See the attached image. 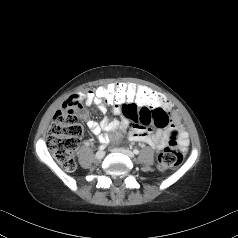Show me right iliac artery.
<instances>
[{
	"mask_svg": "<svg viewBox=\"0 0 238 238\" xmlns=\"http://www.w3.org/2000/svg\"><path fill=\"white\" fill-rule=\"evenodd\" d=\"M106 148V145H100L99 150H104Z\"/></svg>",
	"mask_w": 238,
	"mask_h": 238,
	"instance_id": "right-iliac-artery-1",
	"label": "right iliac artery"
}]
</instances>
